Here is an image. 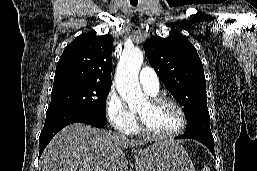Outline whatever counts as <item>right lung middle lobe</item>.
<instances>
[{
    "label": "right lung middle lobe",
    "mask_w": 257,
    "mask_h": 171,
    "mask_svg": "<svg viewBox=\"0 0 257 171\" xmlns=\"http://www.w3.org/2000/svg\"><path fill=\"white\" fill-rule=\"evenodd\" d=\"M111 85L74 83L54 88L48 110L76 107L105 118L106 97Z\"/></svg>",
    "instance_id": "dd1d6c3e"
}]
</instances>
